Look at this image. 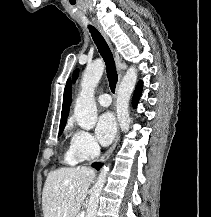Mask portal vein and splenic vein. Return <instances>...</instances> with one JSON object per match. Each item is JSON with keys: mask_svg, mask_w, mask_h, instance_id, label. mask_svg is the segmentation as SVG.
<instances>
[{"mask_svg": "<svg viewBox=\"0 0 211 217\" xmlns=\"http://www.w3.org/2000/svg\"><path fill=\"white\" fill-rule=\"evenodd\" d=\"M79 217H84V213H81Z\"/></svg>", "mask_w": 211, "mask_h": 217, "instance_id": "obj_1", "label": "portal vein and splenic vein"}]
</instances>
